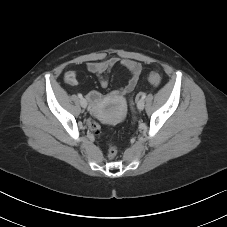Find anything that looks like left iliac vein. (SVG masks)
Segmentation results:
<instances>
[{"label":"left iliac vein","mask_w":227,"mask_h":227,"mask_svg":"<svg viewBox=\"0 0 227 227\" xmlns=\"http://www.w3.org/2000/svg\"><path fill=\"white\" fill-rule=\"evenodd\" d=\"M144 107H145V102H144L143 99H140V100L137 102V108H138L139 110H143Z\"/></svg>","instance_id":"1"}]
</instances>
